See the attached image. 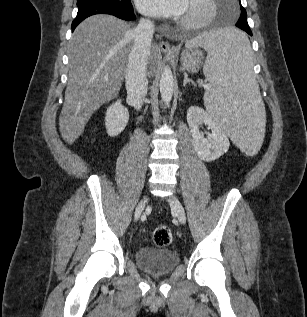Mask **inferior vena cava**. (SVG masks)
<instances>
[{"label": "inferior vena cava", "mask_w": 307, "mask_h": 317, "mask_svg": "<svg viewBox=\"0 0 307 317\" xmlns=\"http://www.w3.org/2000/svg\"><path fill=\"white\" fill-rule=\"evenodd\" d=\"M154 30L150 19H141L133 30L134 42L128 58L125 84L127 99L136 110L141 109L147 94V61Z\"/></svg>", "instance_id": "1"}]
</instances>
